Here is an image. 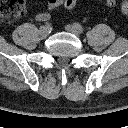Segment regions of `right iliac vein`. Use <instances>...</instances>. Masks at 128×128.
Returning a JSON list of instances; mask_svg holds the SVG:
<instances>
[{
    "mask_svg": "<svg viewBox=\"0 0 128 128\" xmlns=\"http://www.w3.org/2000/svg\"><path fill=\"white\" fill-rule=\"evenodd\" d=\"M40 32L44 37H47L50 34V29L47 26L40 28Z\"/></svg>",
    "mask_w": 128,
    "mask_h": 128,
    "instance_id": "63e3f726",
    "label": "right iliac vein"
}]
</instances>
